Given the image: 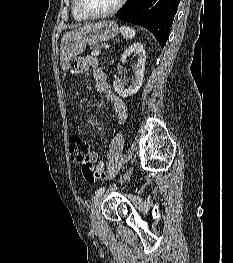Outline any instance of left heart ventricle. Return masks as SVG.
Segmentation results:
<instances>
[{
    "instance_id": "1",
    "label": "left heart ventricle",
    "mask_w": 233,
    "mask_h": 263,
    "mask_svg": "<svg viewBox=\"0 0 233 263\" xmlns=\"http://www.w3.org/2000/svg\"><path fill=\"white\" fill-rule=\"evenodd\" d=\"M118 0H83V6L91 13H100L112 8Z\"/></svg>"
}]
</instances>
